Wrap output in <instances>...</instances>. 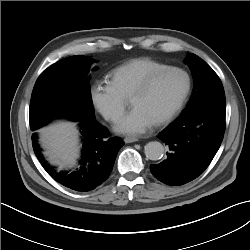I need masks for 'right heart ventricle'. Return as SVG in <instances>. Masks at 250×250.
<instances>
[{
	"label": "right heart ventricle",
	"mask_w": 250,
	"mask_h": 250,
	"mask_svg": "<svg viewBox=\"0 0 250 250\" xmlns=\"http://www.w3.org/2000/svg\"><path fill=\"white\" fill-rule=\"evenodd\" d=\"M167 66L149 57L134 58L114 68L109 74L110 81L124 97L130 98L149 74Z\"/></svg>",
	"instance_id": "1"
}]
</instances>
